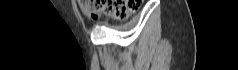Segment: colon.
Instances as JSON below:
<instances>
[{
	"instance_id": "colon-1",
	"label": "colon",
	"mask_w": 238,
	"mask_h": 70,
	"mask_svg": "<svg viewBox=\"0 0 238 70\" xmlns=\"http://www.w3.org/2000/svg\"><path fill=\"white\" fill-rule=\"evenodd\" d=\"M82 12L93 20L102 15L116 19L127 18L137 7L136 0H79Z\"/></svg>"
}]
</instances>
